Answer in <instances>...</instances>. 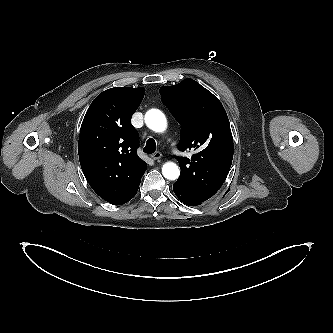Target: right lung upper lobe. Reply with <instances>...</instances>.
<instances>
[{
  "label": "right lung upper lobe",
  "instance_id": "cb5924a9",
  "mask_svg": "<svg viewBox=\"0 0 333 333\" xmlns=\"http://www.w3.org/2000/svg\"><path fill=\"white\" fill-rule=\"evenodd\" d=\"M145 89L111 88L100 93L83 119L78 153L84 176L105 201L122 205L137 193L146 163L137 155L139 137L131 117Z\"/></svg>",
  "mask_w": 333,
  "mask_h": 333
}]
</instances>
